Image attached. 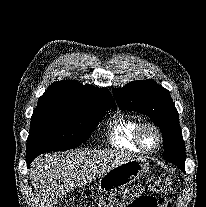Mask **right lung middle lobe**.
Listing matches in <instances>:
<instances>
[{
    "label": "right lung middle lobe",
    "mask_w": 206,
    "mask_h": 207,
    "mask_svg": "<svg viewBox=\"0 0 206 207\" xmlns=\"http://www.w3.org/2000/svg\"><path fill=\"white\" fill-rule=\"evenodd\" d=\"M110 108L38 104L31 118L27 155L78 147L89 139Z\"/></svg>",
    "instance_id": "obj_1"
}]
</instances>
